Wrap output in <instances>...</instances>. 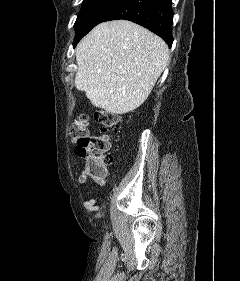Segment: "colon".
I'll use <instances>...</instances> for the list:
<instances>
[{
    "label": "colon",
    "mask_w": 240,
    "mask_h": 281,
    "mask_svg": "<svg viewBox=\"0 0 240 281\" xmlns=\"http://www.w3.org/2000/svg\"><path fill=\"white\" fill-rule=\"evenodd\" d=\"M95 119L102 127L100 134L92 135L89 132L88 117L81 114L70 127V138L76 154L85 159V171L100 176L106 173L107 166L112 161L109 133L117 128L119 117L114 113L98 111Z\"/></svg>",
    "instance_id": "colon-1"
}]
</instances>
